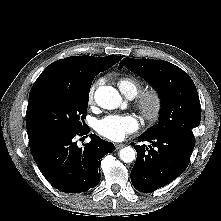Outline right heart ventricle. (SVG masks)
Wrapping results in <instances>:
<instances>
[{
    "instance_id": "right-heart-ventricle-1",
    "label": "right heart ventricle",
    "mask_w": 221,
    "mask_h": 221,
    "mask_svg": "<svg viewBox=\"0 0 221 221\" xmlns=\"http://www.w3.org/2000/svg\"><path fill=\"white\" fill-rule=\"evenodd\" d=\"M118 87L124 95L132 98L139 93L141 83L134 77L125 76L119 79Z\"/></svg>"
}]
</instances>
